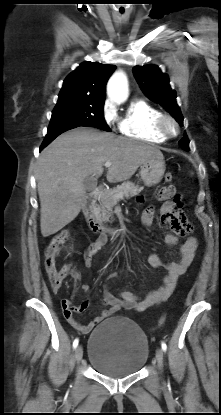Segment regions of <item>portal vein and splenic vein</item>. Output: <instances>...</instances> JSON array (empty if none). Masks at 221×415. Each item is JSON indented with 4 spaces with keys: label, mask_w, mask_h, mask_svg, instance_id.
<instances>
[{
    "label": "portal vein and splenic vein",
    "mask_w": 221,
    "mask_h": 415,
    "mask_svg": "<svg viewBox=\"0 0 221 415\" xmlns=\"http://www.w3.org/2000/svg\"><path fill=\"white\" fill-rule=\"evenodd\" d=\"M104 165H105V167H109V166H111V162L110 161H106L104 163ZM117 197H122V195L118 194Z\"/></svg>",
    "instance_id": "1"
}]
</instances>
